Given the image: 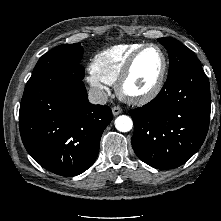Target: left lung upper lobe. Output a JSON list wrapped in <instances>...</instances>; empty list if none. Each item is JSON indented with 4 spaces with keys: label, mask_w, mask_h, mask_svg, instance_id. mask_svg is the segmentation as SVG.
Returning <instances> with one entry per match:
<instances>
[{
    "label": "left lung upper lobe",
    "mask_w": 221,
    "mask_h": 221,
    "mask_svg": "<svg viewBox=\"0 0 221 221\" xmlns=\"http://www.w3.org/2000/svg\"><path fill=\"white\" fill-rule=\"evenodd\" d=\"M158 41L167 49L170 58L167 80L176 77L187 69L201 67L199 59L177 40L160 38Z\"/></svg>",
    "instance_id": "obj_1"
}]
</instances>
